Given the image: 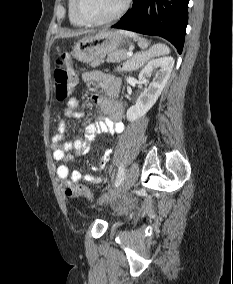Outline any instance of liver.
Masks as SVG:
<instances>
[{
    "label": "liver",
    "mask_w": 233,
    "mask_h": 284,
    "mask_svg": "<svg viewBox=\"0 0 233 284\" xmlns=\"http://www.w3.org/2000/svg\"><path fill=\"white\" fill-rule=\"evenodd\" d=\"M93 32L92 30H85V31H63L60 32L55 36V38H70V37H75V36H80L83 34L91 33Z\"/></svg>",
    "instance_id": "1"
}]
</instances>
